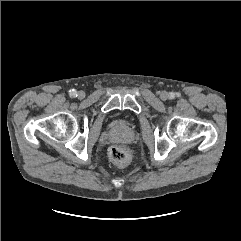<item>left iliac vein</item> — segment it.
I'll list each match as a JSON object with an SVG mask.
<instances>
[{"label":"left iliac vein","mask_w":241,"mask_h":241,"mask_svg":"<svg viewBox=\"0 0 241 241\" xmlns=\"http://www.w3.org/2000/svg\"><path fill=\"white\" fill-rule=\"evenodd\" d=\"M168 96L169 95L166 91H162L161 94H160V98L164 101L168 99Z\"/></svg>","instance_id":"1"}]
</instances>
